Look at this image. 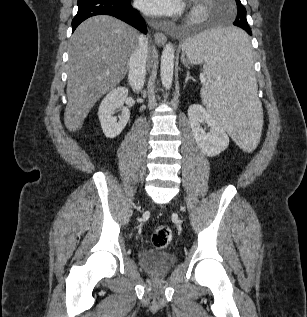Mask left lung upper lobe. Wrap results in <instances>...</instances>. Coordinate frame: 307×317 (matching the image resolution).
Returning a JSON list of instances; mask_svg holds the SVG:
<instances>
[{
	"label": "left lung upper lobe",
	"mask_w": 307,
	"mask_h": 317,
	"mask_svg": "<svg viewBox=\"0 0 307 317\" xmlns=\"http://www.w3.org/2000/svg\"><path fill=\"white\" fill-rule=\"evenodd\" d=\"M236 1V6H237V16L234 21V25L242 27V26H248L247 19H246V9L245 7L241 4L240 0H235Z\"/></svg>",
	"instance_id": "5c2ea615"
}]
</instances>
